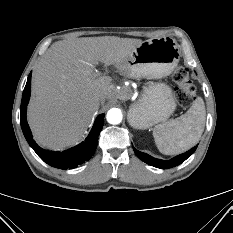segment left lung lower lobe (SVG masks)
I'll use <instances>...</instances> for the list:
<instances>
[{
	"label": "left lung lower lobe",
	"instance_id": "obj_1",
	"mask_svg": "<svg viewBox=\"0 0 233 233\" xmlns=\"http://www.w3.org/2000/svg\"><path fill=\"white\" fill-rule=\"evenodd\" d=\"M196 148H197V146H195L192 149H190L189 151H187L183 154H180V155H178L170 160H167V161L153 158L146 153L138 151L134 147H133V150H134L135 154L145 163H147L151 166L157 167V168L168 169V168L178 166L179 164L184 162L187 158H189L195 152Z\"/></svg>",
	"mask_w": 233,
	"mask_h": 233
}]
</instances>
